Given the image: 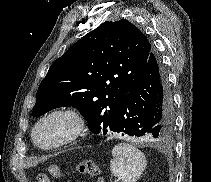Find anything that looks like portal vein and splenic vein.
<instances>
[{"instance_id":"1","label":"portal vein and splenic vein","mask_w":211,"mask_h":182,"mask_svg":"<svg viewBox=\"0 0 211 182\" xmlns=\"http://www.w3.org/2000/svg\"><path fill=\"white\" fill-rule=\"evenodd\" d=\"M120 180V178H118V179H115V182H118Z\"/></svg>"}]
</instances>
